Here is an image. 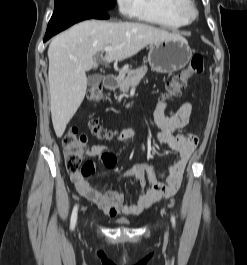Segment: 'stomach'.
Segmentation results:
<instances>
[{
    "mask_svg": "<svg viewBox=\"0 0 247 265\" xmlns=\"http://www.w3.org/2000/svg\"><path fill=\"white\" fill-rule=\"evenodd\" d=\"M191 57L188 42L182 37L154 43L148 54V62L153 71L173 73L183 69Z\"/></svg>",
    "mask_w": 247,
    "mask_h": 265,
    "instance_id": "0dacf381",
    "label": "stomach"
}]
</instances>
